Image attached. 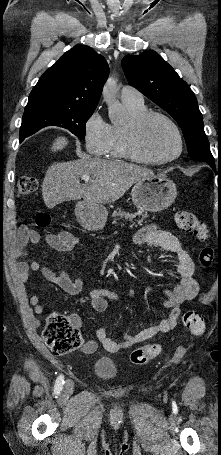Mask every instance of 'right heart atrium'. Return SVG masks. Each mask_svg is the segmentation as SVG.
I'll return each instance as SVG.
<instances>
[{
	"label": "right heart atrium",
	"mask_w": 221,
	"mask_h": 455,
	"mask_svg": "<svg viewBox=\"0 0 221 455\" xmlns=\"http://www.w3.org/2000/svg\"><path fill=\"white\" fill-rule=\"evenodd\" d=\"M110 136V125L99 110H95L85 121L83 137L86 150L93 155H104L107 152Z\"/></svg>",
	"instance_id": "d8ad5b80"
}]
</instances>
